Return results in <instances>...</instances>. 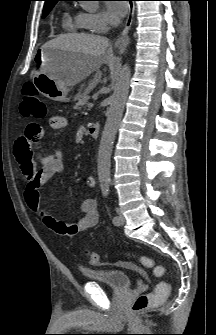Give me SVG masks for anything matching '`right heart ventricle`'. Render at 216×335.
<instances>
[{
  "label": "right heart ventricle",
  "mask_w": 216,
  "mask_h": 335,
  "mask_svg": "<svg viewBox=\"0 0 216 335\" xmlns=\"http://www.w3.org/2000/svg\"><path fill=\"white\" fill-rule=\"evenodd\" d=\"M62 26L68 32L91 30L85 14L82 12L74 14H71L69 11L65 12L62 18Z\"/></svg>",
  "instance_id": "1"
}]
</instances>
